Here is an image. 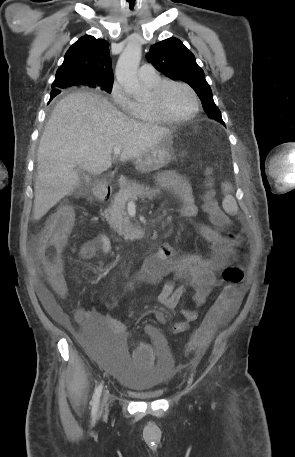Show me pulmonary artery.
Wrapping results in <instances>:
<instances>
[{"label": "pulmonary artery", "mask_w": 295, "mask_h": 457, "mask_svg": "<svg viewBox=\"0 0 295 457\" xmlns=\"http://www.w3.org/2000/svg\"><path fill=\"white\" fill-rule=\"evenodd\" d=\"M138 74L143 81H153L158 78V74L151 64H143L139 68Z\"/></svg>", "instance_id": "obj_1"}]
</instances>
